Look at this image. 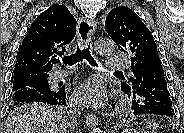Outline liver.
<instances>
[{
  "label": "liver",
  "instance_id": "1",
  "mask_svg": "<svg viewBox=\"0 0 184 133\" xmlns=\"http://www.w3.org/2000/svg\"><path fill=\"white\" fill-rule=\"evenodd\" d=\"M5 133H68V124L52 106L31 103L12 113Z\"/></svg>",
  "mask_w": 184,
  "mask_h": 133
}]
</instances>
